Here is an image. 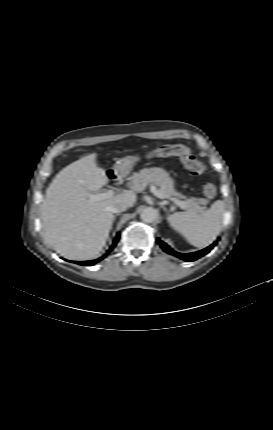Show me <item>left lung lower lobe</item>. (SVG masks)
Segmentation results:
<instances>
[{"label":"left lung lower lobe","instance_id":"1","mask_svg":"<svg viewBox=\"0 0 273 430\" xmlns=\"http://www.w3.org/2000/svg\"><path fill=\"white\" fill-rule=\"evenodd\" d=\"M157 243L160 245V247L165 252H167L171 255H174V256L182 259V260L189 261V262L195 261V260L201 258L202 256L206 255L217 244V242H214L212 245H210L209 247H207L203 250L193 252V253L182 254V253L176 252L173 249H171L166 243L161 241L159 238H157Z\"/></svg>","mask_w":273,"mask_h":430}]
</instances>
